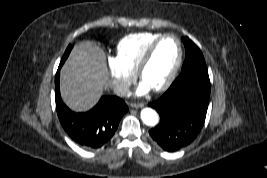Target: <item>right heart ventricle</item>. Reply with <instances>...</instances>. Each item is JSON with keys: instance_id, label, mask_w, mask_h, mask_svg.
Listing matches in <instances>:
<instances>
[{"instance_id": "1", "label": "right heart ventricle", "mask_w": 267, "mask_h": 178, "mask_svg": "<svg viewBox=\"0 0 267 178\" xmlns=\"http://www.w3.org/2000/svg\"><path fill=\"white\" fill-rule=\"evenodd\" d=\"M161 35L159 32H140L123 37L116 46L117 60L135 73L147 47Z\"/></svg>"}]
</instances>
